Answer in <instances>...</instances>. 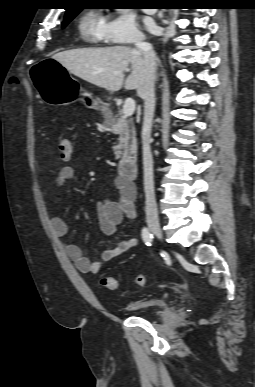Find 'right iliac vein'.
<instances>
[{
	"instance_id": "obj_1",
	"label": "right iliac vein",
	"mask_w": 255,
	"mask_h": 387,
	"mask_svg": "<svg viewBox=\"0 0 255 387\" xmlns=\"http://www.w3.org/2000/svg\"><path fill=\"white\" fill-rule=\"evenodd\" d=\"M149 228L151 229V231L156 234L158 236V238H162L163 234H162V230L160 228V225L156 222H151L149 223Z\"/></svg>"
}]
</instances>
